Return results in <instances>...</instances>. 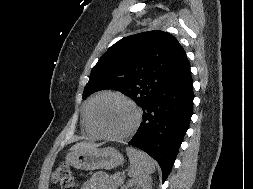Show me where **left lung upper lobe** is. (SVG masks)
Instances as JSON below:
<instances>
[{
	"instance_id": "1",
	"label": "left lung upper lobe",
	"mask_w": 253,
	"mask_h": 189,
	"mask_svg": "<svg viewBox=\"0 0 253 189\" xmlns=\"http://www.w3.org/2000/svg\"><path fill=\"white\" fill-rule=\"evenodd\" d=\"M187 60L177 39L153 30L127 36L99 59L92 69L83 98L103 89L120 91L143 107Z\"/></svg>"
}]
</instances>
